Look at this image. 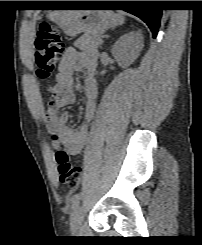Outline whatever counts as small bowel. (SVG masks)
Instances as JSON below:
<instances>
[{
  "label": "small bowel",
  "mask_w": 202,
  "mask_h": 245,
  "mask_svg": "<svg viewBox=\"0 0 202 245\" xmlns=\"http://www.w3.org/2000/svg\"><path fill=\"white\" fill-rule=\"evenodd\" d=\"M86 72L83 84L85 95L84 123L79 129L69 126L70 114L59 113V110L74 103V74ZM96 57L80 52L74 47L66 49L58 67L55 77V86L52 90L53 97L47 103L45 120L50 130L55 131L59 138L53 141L55 150L63 148L71 155L79 154L87 142L88 123L94 117L98 99V83L95 78Z\"/></svg>",
  "instance_id": "small-bowel-1"
}]
</instances>
